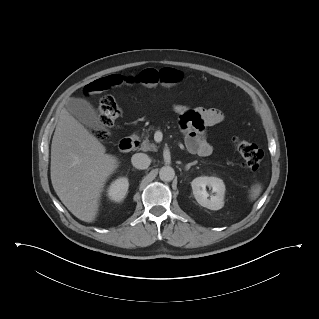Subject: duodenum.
I'll use <instances>...</instances> for the list:
<instances>
[{
  "label": "duodenum",
  "instance_id": "obj_1",
  "mask_svg": "<svg viewBox=\"0 0 319 319\" xmlns=\"http://www.w3.org/2000/svg\"><path fill=\"white\" fill-rule=\"evenodd\" d=\"M136 140L132 137L124 138L119 143V149L122 152L131 151L136 146Z\"/></svg>",
  "mask_w": 319,
  "mask_h": 319
}]
</instances>
